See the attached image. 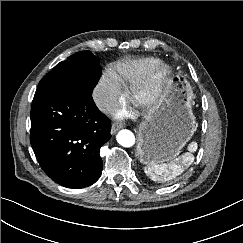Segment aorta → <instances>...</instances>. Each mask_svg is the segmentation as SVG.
Instances as JSON below:
<instances>
[{
  "label": "aorta",
  "mask_w": 243,
  "mask_h": 243,
  "mask_svg": "<svg viewBox=\"0 0 243 243\" xmlns=\"http://www.w3.org/2000/svg\"><path fill=\"white\" fill-rule=\"evenodd\" d=\"M116 139H117V142L121 146L127 147V148L133 146L134 143H135V136H134V134L131 131L126 130V129L119 131V133L117 134Z\"/></svg>",
  "instance_id": "762f6f07"
}]
</instances>
